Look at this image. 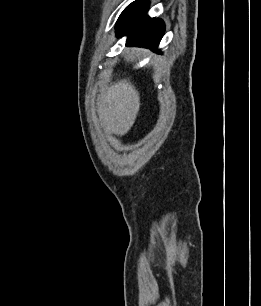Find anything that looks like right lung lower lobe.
Masks as SVG:
<instances>
[{
	"instance_id": "right-lung-lower-lobe-1",
	"label": "right lung lower lobe",
	"mask_w": 261,
	"mask_h": 306,
	"mask_svg": "<svg viewBox=\"0 0 261 306\" xmlns=\"http://www.w3.org/2000/svg\"><path fill=\"white\" fill-rule=\"evenodd\" d=\"M149 2L136 0L121 13L117 24V37L127 35V46L157 49L163 36L165 25L161 19L149 18L146 13Z\"/></svg>"
}]
</instances>
